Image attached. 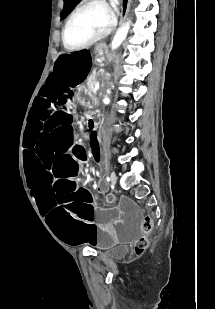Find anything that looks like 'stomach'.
<instances>
[{"label": "stomach", "instance_id": "stomach-1", "mask_svg": "<svg viewBox=\"0 0 215 309\" xmlns=\"http://www.w3.org/2000/svg\"><path fill=\"white\" fill-rule=\"evenodd\" d=\"M106 49H107V46L106 44L104 43H100L97 45L96 47V53L99 55V56H103L106 52ZM82 96L84 99L88 100V99H91L94 97L93 93L90 91L89 88H85L82 90Z\"/></svg>", "mask_w": 215, "mask_h": 309}]
</instances>
